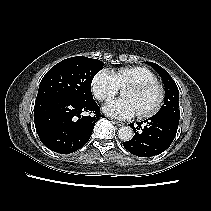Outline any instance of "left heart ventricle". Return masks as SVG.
I'll use <instances>...</instances> for the list:
<instances>
[{
  "label": "left heart ventricle",
  "instance_id": "b2bd125f",
  "mask_svg": "<svg viewBox=\"0 0 211 211\" xmlns=\"http://www.w3.org/2000/svg\"><path fill=\"white\" fill-rule=\"evenodd\" d=\"M158 96L156 88H150L146 91L126 88L123 92V97L130 99L135 104L138 113L149 111L157 102Z\"/></svg>",
  "mask_w": 211,
  "mask_h": 211
}]
</instances>
